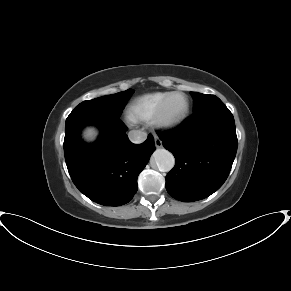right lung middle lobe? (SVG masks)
I'll use <instances>...</instances> for the list:
<instances>
[{
  "label": "right lung middle lobe",
  "instance_id": "dd1d6c3e",
  "mask_svg": "<svg viewBox=\"0 0 291 291\" xmlns=\"http://www.w3.org/2000/svg\"><path fill=\"white\" fill-rule=\"evenodd\" d=\"M133 90L128 89L112 95L99 97L93 100L83 101L73 111H91L110 114L119 117ZM72 111V112H73Z\"/></svg>",
  "mask_w": 291,
  "mask_h": 291
}]
</instances>
